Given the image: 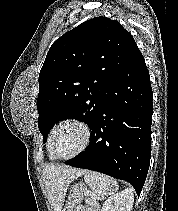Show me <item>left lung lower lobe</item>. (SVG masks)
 I'll use <instances>...</instances> for the list:
<instances>
[{
  "label": "left lung lower lobe",
  "instance_id": "1",
  "mask_svg": "<svg viewBox=\"0 0 178 211\" xmlns=\"http://www.w3.org/2000/svg\"><path fill=\"white\" fill-rule=\"evenodd\" d=\"M152 88L138 47L110 84L90 145L65 164L130 182L139 195L151 156Z\"/></svg>",
  "mask_w": 178,
  "mask_h": 211
}]
</instances>
